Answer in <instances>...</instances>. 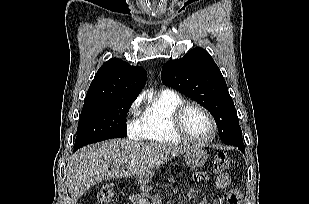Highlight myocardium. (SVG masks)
<instances>
[{"label": "myocardium", "mask_w": 309, "mask_h": 204, "mask_svg": "<svg viewBox=\"0 0 309 204\" xmlns=\"http://www.w3.org/2000/svg\"><path fill=\"white\" fill-rule=\"evenodd\" d=\"M190 107L198 108L208 118V120L211 124V128H212V132H211V135H210L209 138H207L205 140H198V139L194 138L186 130V128L184 126V122H183V117H184V114L187 111V109H189ZM171 124H172L173 130L175 131V133L179 137H181L183 140H185L189 143L200 145V146L208 145L209 143H211L215 139L216 134H217V124H216V121H215L213 115L204 105H202L198 102H195V101H184L179 106H177V108L174 110V112L172 114Z\"/></svg>", "instance_id": "obj_1"}]
</instances>
